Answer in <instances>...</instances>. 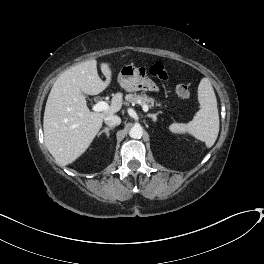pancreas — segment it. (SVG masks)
<instances>
[{"label":"pancreas","instance_id":"pancreas-1","mask_svg":"<svg viewBox=\"0 0 264 264\" xmlns=\"http://www.w3.org/2000/svg\"><path fill=\"white\" fill-rule=\"evenodd\" d=\"M125 99L128 103L131 104H140V105H147L148 107H153V106H161V103H157L154 98L149 97L145 93L141 94H128L125 96Z\"/></svg>","mask_w":264,"mask_h":264}]
</instances>
